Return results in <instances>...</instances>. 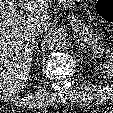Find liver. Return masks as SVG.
I'll use <instances>...</instances> for the list:
<instances>
[{"label":"liver","mask_w":113,"mask_h":113,"mask_svg":"<svg viewBox=\"0 0 113 113\" xmlns=\"http://www.w3.org/2000/svg\"><path fill=\"white\" fill-rule=\"evenodd\" d=\"M30 13L21 23L16 5ZM47 0H0V92L15 95L28 83L35 45L34 31L49 28Z\"/></svg>","instance_id":"obj_1"}]
</instances>
